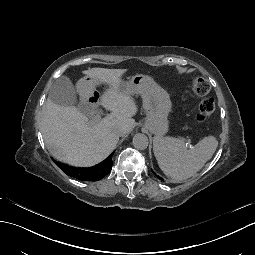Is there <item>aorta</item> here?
<instances>
[{"mask_svg":"<svg viewBox=\"0 0 255 255\" xmlns=\"http://www.w3.org/2000/svg\"><path fill=\"white\" fill-rule=\"evenodd\" d=\"M133 146L138 150H145L148 147L149 140L145 134L138 133L133 137Z\"/></svg>","mask_w":255,"mask_h":255,"instance_id":"aorta-1","label":"aorta"}]
</instances>
